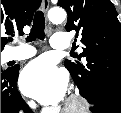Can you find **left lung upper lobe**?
I'll use <instances>...</instances> for the list:
<instances>
[{
	"instance_id": "5c2ea615",
	"label": "left lung upper lobe",
	"mask_w": 121,
	"mask_h": 113,
	"mask_svg": "<svg viewBox=\"0 0 121 113\" xmlns=\"http://www.w3.org/2000/svg\"><path fill=\"white\" fill-rule=\"evenodd\" d=\"M68 13L66 30H75L83 52L65 61L81 95L102 93L121 101V29L110 0H58ZM82 58V62H81Z\"/></svg>"
}]
</instances>
